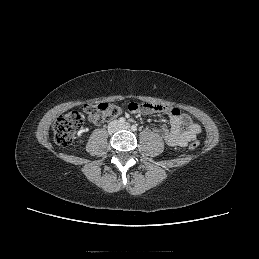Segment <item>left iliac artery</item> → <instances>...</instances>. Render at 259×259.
Here are the masks:
<instances>
[{"label":"left iliac artery","instance_id":"obj_1","mask_svg":"<svg viewBox=\"0 0 259 259\" xmlns=\"http://www.w3.org/2000/svg\"><path fill=\"white\" fill-rule=\"evenodd\" d=\"M131 129H132V131H136L137 130V126L136 125H132Z\"/></svg>","mask_w":259,"mask_h":259}]
</instances>
